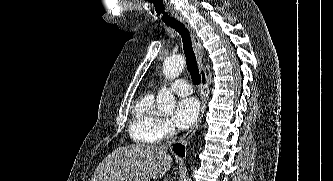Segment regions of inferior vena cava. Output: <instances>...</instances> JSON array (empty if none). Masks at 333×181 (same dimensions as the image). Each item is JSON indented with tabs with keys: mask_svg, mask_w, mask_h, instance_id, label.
<instances>
[{
	"mask_svg": "<svg viewBox=\"0 0 333 181\" xmlns=\"http://www.w3.org/2000/svg\"><path fill=\"white\" fill-rule=\"evenodd\" d=\"M175 139H176V135L175 136H173L172 138H171V140H169L165 145H163L165 148H167L168 146H170L171 144H172V142H174L175 141Z\"/></svg>",
	"mask_w": 333,
	"mask_h": 181,
	"instance_id": "inferior-vena-cava-1",
	"label": "inferior vena cava"
}]
</instances>
